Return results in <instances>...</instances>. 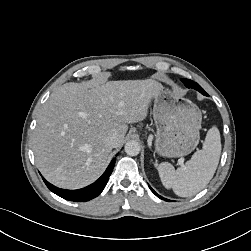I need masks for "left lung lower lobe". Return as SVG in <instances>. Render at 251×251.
Instances as JSON below:
<instances>
[{"label":"left lung lower lobe","mask_w":251,"mask_h":251,"mask_svg":"<svg viewBox=\"0 0 251 251\" xmlns=\"http://www.w3.org/2000/svg\"><path fill=\"white\" fill-rule=\"evenodd\" d=\"M149 188H150L151 191H152L157 197H159L160 199H163V200H165V201H169L168 199H165V198L161 197L160 195H158L150 186H149Z\"/></svg>","instance_id":"0a47b994"}]
</instances>
